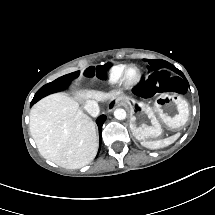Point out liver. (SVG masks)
<instances>
[{
    "label": "liver",
    "instance_id": "6515ba94",
    "mask_svg": "<svg viewBox=\"0 0 215 215\" xmlns=\"http://www.w3.org/2000/svg\"><path fill=\"white\" fill-rule=\"evenodd\" d=\"M121 94L95 90L76 93L80 98L97 101ZM29 128L40 154L61 167L82 168L97 154L95 123L83 113L75 98L56 93L41 99L30 111Z\"/></svg>",
    "mask_w": 215,
    "mask_h": 215
}]
</instances>
